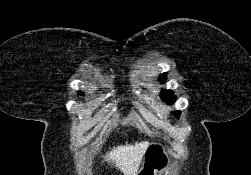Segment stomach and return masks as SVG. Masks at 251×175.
I'll return each instance as SVG.
<instances>
[{"instance_id": "1", "label": "stomach", "mask_w": 251, "mask_h": 175, "mask_svg": "<svg viewBox=\"0 0 251 175\" xmlns=\"http://www.w3.org/2000/svg\"><path fill=\"white\" fill-rule=\"evenodd\" d=\"M171 165V157L160 141H153L148 145L142 165L137 175H168Z\"/></svg>"}]
</instances>
